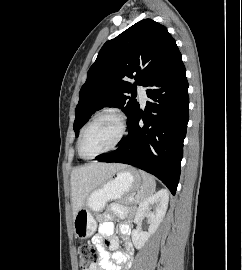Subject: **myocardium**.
<instances>
[{
	"label": "myocardium",
	"mask_w": 242,
	"mask_h": 270,
	"mask_svg": "<svg viewBox=\"0 0 242 270\" xmlns=\"http://www.w3.org/2000/svg\"><path fill=\"white\" fill-rule=\"evenodd\" d=\"M105 117L115 118L119 122L120 133H119L118 138L107 149H105V150H103V151H101V152H99V153H97L95 155H91V156L84 155V153L82 152L81 144H82V140H83V137H84L86 131L95 122H97L98 120H100L102 118H105ZM126 134H127V120H126V117L122 113H120L118 111H115V110L102 111V112L98 113L96 116H94V118L82 129V131L80 133V136L78 138V142H77V151H78V154H79V156L81 158H83L85 160H90V159L96 158L98 156L104 155L106 153H109V152L113 151L114 149H116L122 143V141L124 140Z\"/></svg>",
	"instance_id": "1"
}]
</instances>
